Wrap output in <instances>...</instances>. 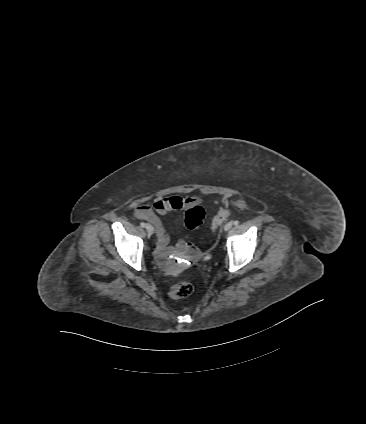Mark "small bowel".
<instances>
[{"label": "small bowel", "instance_id": "c3829d8e", "mask_svg": "<svg viewBox=\"0 0 366 424\" xmlns=\"http://www.w3.org/2000/svg\"><path fill=\"white\" fill-rule=\"evenodd\" d=\"M196 196L180 197V196H159L154 199L152 206L141 204L135 210L137 219L145 220L153 224L157 237V255L163 261L164 258L172 252L169 246L170 238L166 232L160 216H165L173 211H184L199 203ZM186 241L180 239L175 249L181 251L185 248Z\"/></svg>", "mask_w": 366, "mask_h": 424}]
</instances>
